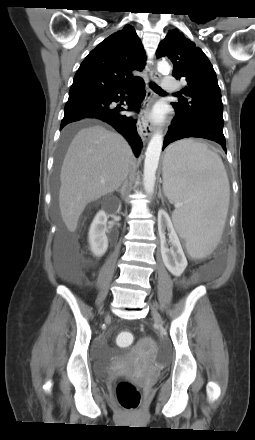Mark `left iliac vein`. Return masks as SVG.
Returning a JSON list of instances; mask_svg holds the SVG:
<instances>
[{"mask_svg": "<svg viewBox=\"0 0 255 440\" xmlns=\"http://www.w3.org/2000/svg\"><path fill=\"white\" fill-rule=\"evenodd\" d=\"M152 316L158 324L162 325V318L154 307H152Z\"/></svg>", "mask_w": 255, "mask_h": 440, "instance_id": "left-iliac-vein-1", "label": "left iliac vein"}]
</instances>
